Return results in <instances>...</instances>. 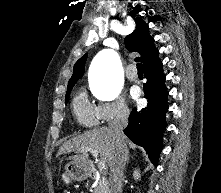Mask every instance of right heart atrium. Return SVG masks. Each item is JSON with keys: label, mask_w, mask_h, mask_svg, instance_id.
<instances>
[{"label": "right heart atrium", "mask_w": 221, "mask_h": 193, "mask_svg": "<svg viewBox=\"0 0 221 193\" xmlns=\"http://www.w3.org/2000/svg\"><path fill=\"white\" fill-rule=\"evenodd\" d=\"M99 121L110 123L114 120L124 119L129 114V108L122 97H116L108 102H100L97 106Z\"/></svg>", "instance_id": "1"}]
</instances>
